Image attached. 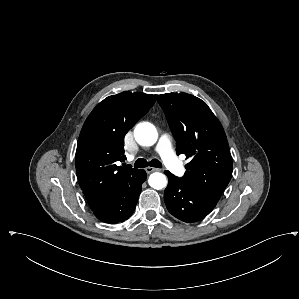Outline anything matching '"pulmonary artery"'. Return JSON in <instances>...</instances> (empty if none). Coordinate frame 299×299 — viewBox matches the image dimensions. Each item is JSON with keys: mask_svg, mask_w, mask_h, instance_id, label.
Returning <instances> with one entry per match:
<instances>
[{"mask_svg": "<svg viewBox=\"0 0 299 299\" xmlns=\"http://www.w3.org/2000/svg\"><path fill=\"white\" fill-rule=\"evenodd\" d=\"M157 152L160 154L165 166L175 175L183 176L185 173L184 166L177 158L171 143L169 135H161L158 144Z\"/></svg>", "mask_w": 299, "mask_h": 299, "instance_id": "1", "label": "pulmonary artery"}]
</instances>
